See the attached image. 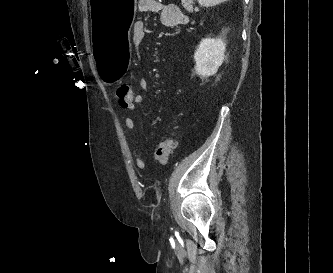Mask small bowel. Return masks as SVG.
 Returning a JSON list of instances; mask_svg holds the SVG:
<instances>
[{
  "label": "small bowel",
  "mask_w": 333,
  "mask_h": 273,
  "mask_svg": "<svg viewBox=\"0 0 333 273\" xmlns=\"http://www.w3.org/2000/svg\"><path fill=\"white\" fill-rule=\"evenodd\" d=\"M138 11L141 14L146 13H158L160 15V22L170 28L180 27L187 24L188 20L182 9L176 4H165L159 0H138ZM146 24L142 20H138L133 25L132 43L137 52L139 61L141 60L140 49L145 40ZM173 70L177 72V67L173 64ZM149 87L147 79L142 78L139 81V88L141 91H146ZM133 98L135 99V108L143 101L142 94H135L131 91ZM120 104V103H119ZM122 107V105H120ZM134 109H125L127 111H134ZM124 124L130 134H133L136 129L135 121L132 117L126 116L124 118ZM132 156L135 166L139 170L146 168L144 159L140 156L137 149H133Z\"/></svg>",
  "instance_id": "1"
}]
</instances>
